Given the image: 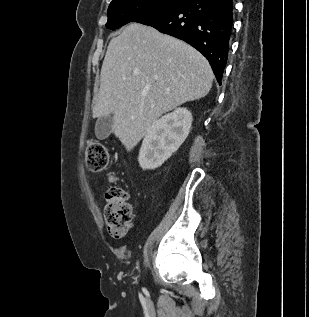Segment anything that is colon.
<instances>
[{
    "label": "colon",
    "instance_id": "1",
    "mask_svg": "<svg viewBox=\"0 0 309 317\" xmlns=\"http://www.w3.org/2000/svg\"><path fill=\"white\" fill-rule=\"evenodd\" d=\"M85 160L87 168L92 172L106 169L109 153L99 140H89L86 145ZM114 180V178H111ZM104 221L109 233L115 238H122L129 230L132 219V207L128 193L119 186H112L105 195Z\"/></svg>",
    "mask_w": 309,
    "mask_h": 317
}]
</instances>
